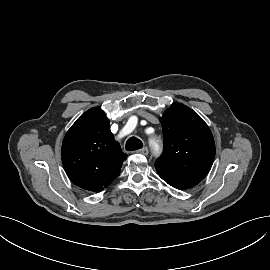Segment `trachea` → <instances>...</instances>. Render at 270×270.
<instances>
[{
	"label": "trachea",
	"instance_id": "1",
	"mask_svg": "<svg viewBox=\"0 0 270 270\" xmlns=\"http://www.w3.org/2000/svg\"><path fill=\"white\" fill-rule=\"evenodd\" d=\"M143 147V143L136 137H130L126 142V150L127 151H135L141 149Z\"/></svg>",
	"mask_w": 270,
	"mask_h": 270
}]
</instances>
